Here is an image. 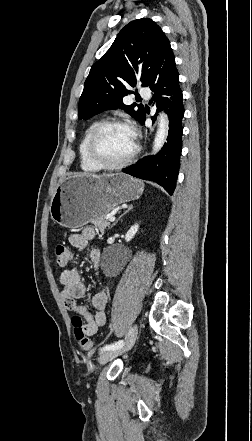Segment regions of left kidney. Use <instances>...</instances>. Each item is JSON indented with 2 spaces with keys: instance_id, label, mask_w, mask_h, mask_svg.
<instances>
[{
  "instance_id": "1",
  "label": "left kidney",
  "mask_w": 252,
  "mask_h": 441,
  "mask_svg": "<svg viewBox=\"0 0 252 441\" xmlns=\"http://www.w3.org/2000/svg\"><path fill=\"white\" fill-rule=\"evenodd\" d=\"M138 229H139V225L138 224H135V225L131 226V228L127 231V233L125 235L126 242H129V241H131L134 238V236L138 232Z\"/></svg>"
}]
</instances>
